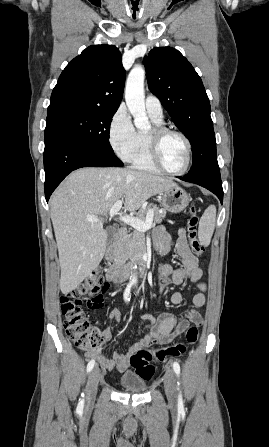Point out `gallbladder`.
Masks as SVG:
<instances>
[{
  "label": "gallbladder",
  "mask_w": 269,
  "mask_h": 447,
  "mask_svg": "<svg viewBox=\"0 0 269 447\" xmlns=\"http://www.w3.org/2000/svg\"><path fill=\"white\" fill-rule=\"evenodd\" d=\"M106 231H107V245H110V243H112L113 241V235H114V231L112 229V227H106Z\"/></svg>",
  "instance_id": "bac80fb5"
}]
</instances>
